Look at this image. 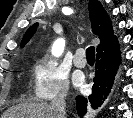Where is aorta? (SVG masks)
Wrapping results in <instances>:
<instances>
[{"mask_svg": "<svg viewBox=\"0 0 133 118\" xmlns=\"http://www.w3.org/2000/svg\"><path fill=\"white\" fill-rule=\"evenodd\" d=\"M64 46H65V41L63 39L57 40L55 50H54L55 56H59L62 54L64 50Z\"/></svg>", "mask_w": 133, "mask_h": 118, "instance_id": "aorta-1", "label": "aorta"}]
</instances>
